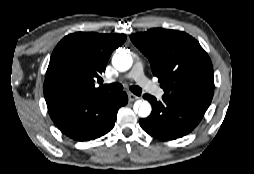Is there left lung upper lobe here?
Segmentation results:
<instances>
[{
	"label": "left lung upper lobe",
	"mask_w": 254,
	"mask_h": 174,
	"mask_svg": "<svg viewBox=\"0 0 254 174\" xmlns=\"http://www.w3.org/2000/svg\"><path fill=\"white\" fill-rule=\"evenodd\" d=\"M130 39L148 57L165 98L207 110L214 93L213 66L193 37L181 31L150 29Z\"/></svg>",
	"instance_id": "left-lung-upper-lobe-1"
}]
</instances>
